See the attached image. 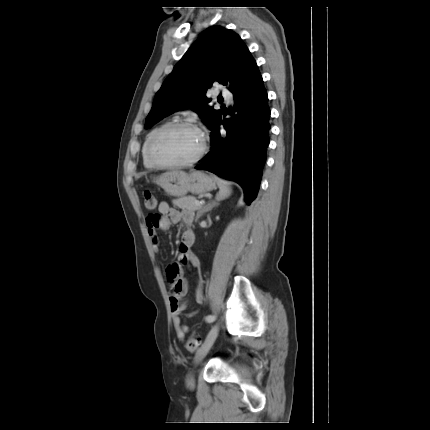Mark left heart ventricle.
<instances>
[{"mask_svg": "<svg viewBox=\"0 0 430 430\" xmlns=\"http://www.w3.org/2000/svg\"><path fill=\"white\" fill-rule=\"evenodd\" d=\"M201 147L202 136L198 131L178 128L164 134L155 142L153 154L162 162H182L196 156Z\"/></svg>", "mask_w": 430, "mask_h": 430, "instance_id": "left-heart-ventricle-1", "label": "left heart ventricle"}]
</instances>
